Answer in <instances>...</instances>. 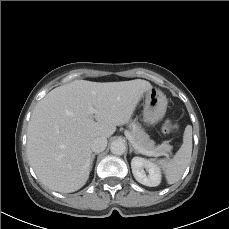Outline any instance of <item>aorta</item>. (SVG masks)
<instances>
[{"instance_id": "1", "label": "aorta", "mask_w": 229, "mask_h": 229, "mask_svg": "<svg viewBox=\"0 0 229 229\" xmlns=\"http://www.w3.org/2000/svg\"><path fill=\"white\" fill-rule=\"evenodd\" d=\"M110 150L115 155H122L126 150V145L121 140H115L111 143Z\"/></svg>"}]
</instances>
